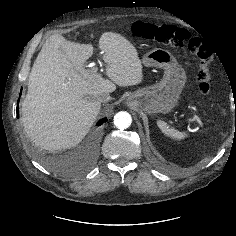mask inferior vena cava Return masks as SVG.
Listing matches in <instances>:
<instances>
[{
    "label": "inferior vena cava",
    "instance_id": "obj_1",
    "mask_svg": "<svg viewBox=\"0 0 236 236\" xmlns=\"http://www.w3.org/2000/svg\"><path fill=\"white\" fill-rule=\"evenodd\" d=\"M112 97L108 93H103L99 96V100L103 103L110 101Z\"/></svg>",
    "mask_w": 236,
    "mask_h": 236
}]
</instances>
